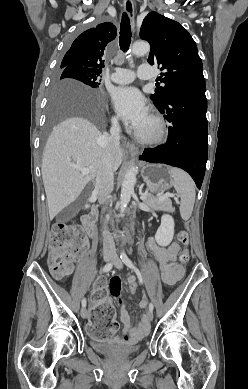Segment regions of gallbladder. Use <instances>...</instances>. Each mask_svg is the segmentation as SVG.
Wrapping results in <instances>:
<instances>
[{
	"label": "gallbladder",
	"instance_id": "bac80fb5",
	"mask_svg": "<svg viewBox=\"0 0 248 389\" xmlns=\"http://www.w3.org/2000/svg\"><path fill=\"white\" fill-rule=\"evenodd\" d=\"M86 197H87V191H84L79 201L85 199ZM76 204H78V202H76Z\"/></svg>",
	"mask_w": 248,
	"mask_h": 389
}]
</instances>
